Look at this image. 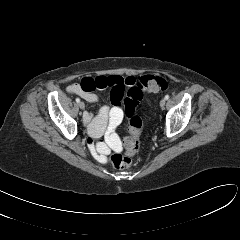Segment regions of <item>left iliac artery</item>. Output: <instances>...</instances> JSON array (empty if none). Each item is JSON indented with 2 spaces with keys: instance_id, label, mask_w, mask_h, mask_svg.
Segmentation results:
<instances>
[{
  "instance_id": "left-iliac-artery-1",
  "label": "left iliac artery",
  "mask_w": 240,
  "mask_h": 240,
  "mask_svg": "<svg viewBox=\"0 0 240 240\" xmlns=\"http://www.w3.org/2000/svg\"><path fill=\"white\" fill-rule=\"evenodd\" d=\"M169 97H170L169 95H165V97H164V98H165V100H168V99H169Z\"/></svg>"
}]
</instances>
